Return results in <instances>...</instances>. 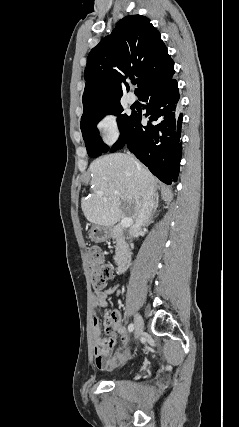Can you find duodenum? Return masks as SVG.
<instances>
[{
    "label": "duodenum",
    "instance_id": "1",
    "mask_svg": "<svg viewBox=\"0 0 239 427\" xmlns=\"http://www.w3.org/2000/svg\"><path fill=\"white\" fill-rule=\"evenodd\" d=\"M132 260L131 248L124 244L118 251L116 258V272L118 274L124 273L130 266Z\"/></svg>",
    "mask_w": 239,
    "mask_h": 427
}]
</instances>
